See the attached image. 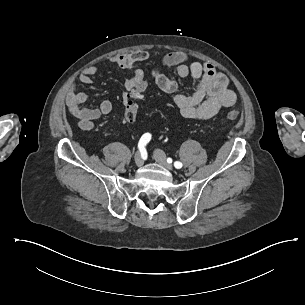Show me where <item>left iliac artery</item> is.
Masks as SVG:
<instances>
[{
    "instance_id": "obj_1",
    "label": "left iliac artery",
    "mask_w": 305,
    "mask_h": 305,
    "mask_svg": "<svg viewBox=\"0 0 305 305\" xmlns=\"http://www.w3.org/2000/svg\"><path fill=\"white\" fill-rule=\"evenodd\" d=\"M167 162L168 163L171 162L170 158L167 159ZM174 166H175V168L180 169L182 167V163L179 161H176V162H174Z\"/></svg>"
}]
</instances>
